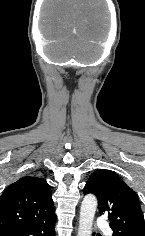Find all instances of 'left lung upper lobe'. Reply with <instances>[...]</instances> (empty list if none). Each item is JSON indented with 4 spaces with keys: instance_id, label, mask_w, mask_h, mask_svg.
Wrapping results in <instances>:
<instances>
[{
    "instance_id": "obj_1",
    "label": "left lung upper lobe",
    "mask_w": 145,
    "mask_h": 236,
    "mask_svg": "<svg viewBox=\"0 0 145 236\" xmlns=\"http://www.w3.org/2000/svg\"><path fill=\"white\" fill-rule=\"evenodd\" d=\"M98 198L99 212L108 216L113 236H145L143 212L136 193L114 172L100 169L89 177L84 194Z\"/></svg>"
}]
</instances>
